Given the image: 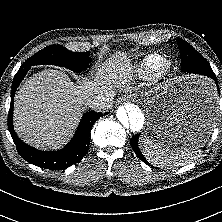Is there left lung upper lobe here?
<instances>
[{"label":"left lung upper lobe","mask_w":222,"mask_h":222,"mask_svg":"<svg viewBox=\"0 0 222 222\" xmlns=\"http://www.w3.org/2000/svg\"><path fill=\"white\" fill-rule=\"evenodd\" d=\"M177 42L181 53L182 62L188 58H192L195 60L196 65L203 68L204 71H212L209 63L190 44L181 38H177Z\"/></svg>","instance_id":"5c2ea615"}]
</instances>
